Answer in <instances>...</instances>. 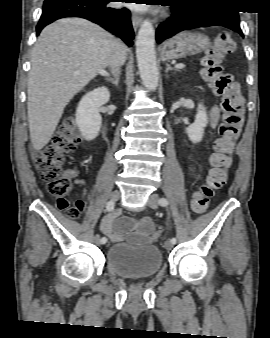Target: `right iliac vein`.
Listing matches in <instances>:
<instances>
[{"instance_id":"obj_1","label":"right iliac vein","mask_w":270,"mask_h":338,"mask_svg":"<svg viewBox=\"0 0 270 338\" xmlns=\"http://www.w3.org/2000/svg\"><path fill=\"white\" fill-rule=\"evenodd\" d=\"M119 192L118 191H113L111 194H110V200L112 201H116L118 198H119ZM93 241L95 244L97 245H100L101 242H100V236L99 235H95L93 237Z\"/></svg>"}]
</instances>
